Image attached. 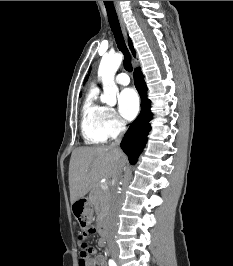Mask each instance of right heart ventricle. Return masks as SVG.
I'll return each instance as SVG.
<instances>
[{
    "label": "right heart ventricle",
    "instance_id": "right-heart-ventricle-1",
    "mask_svg": "<svg viewBox=\"0 0 233 266\" xmlns=\"http://www.w3.org/2000/svg\"><path fill=\"white\" fill-rule=\"evenodd\" d=\"M97 94V88H92L82 106L81 132L88 144H101L107 139L102 131L105 107L97 102Z\"/></svg>",
    "mask_w": 233,
    "mask_h": 266
}]
</instances>
